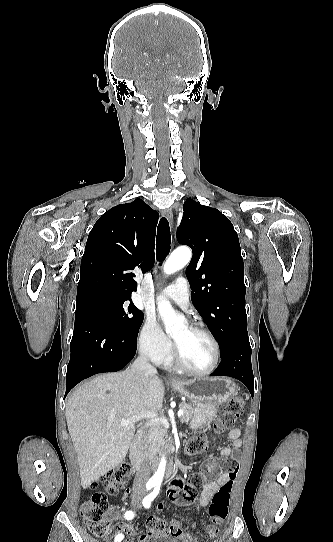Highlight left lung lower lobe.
Wrapping results in <instances>:
<instances>
[{
  "mask_svg": "<svg viewBox=\"0 0 333 542\" xmlns=\"http://www.w3.org/2000/svg\"><path fill=\"white\" fill-rule=\"evenodd\" d=\"M251 346L248 336L236 338L221 355L218 368L211 376H230L240 380L254 394V376L251 365Z\"/></svg>",
  "mask_w": 333,
  "mask_h": 542,
  "instance_id": "left-lung-lower-lobe-1",
  "label": "left lung lower lobe"
}]
</instances>
